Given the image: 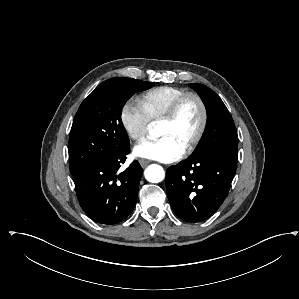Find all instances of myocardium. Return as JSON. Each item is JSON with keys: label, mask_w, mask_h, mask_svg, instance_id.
Masks as SVG:
<instances>
[{"label": "myocardium", "mask_w": 299, "mask_h": 299, "mask_svg": "<svg viewBox=\"0 0 299 299\" xmlns=\"http://www.w3.org/2000/svg\"><path fill=\"white\" fill-rule=\"evenodd\" d=\"M189 99H194L198 103L200 110H201V120H200L199 128H198L195 136L193 137V139L188 143V145L184 149V153H186V154L192 152L197 147V145L200 143V141L205 133L206 127H207L208 111H207V107H206L205 102L202 99V97L195 92H186V93L182 94L172 103L168 112L160 120L161 123L174 122L177 119L184 103Z\"/></svg>", "instance_id": "1"}]
</instances>
